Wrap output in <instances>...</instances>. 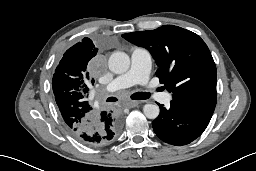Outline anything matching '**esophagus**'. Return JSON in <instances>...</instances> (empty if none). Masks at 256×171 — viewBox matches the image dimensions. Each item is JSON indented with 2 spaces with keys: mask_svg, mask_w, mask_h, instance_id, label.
<instances>
[{
  "mask_svg": "<svg viewBox=\"0 0 256 171\" xmlns=\"http://www.w3.org/2000/svg\"><path fill=\"white\" fill-rule=\"evenodd\" d=\"M141 103V101H128L126 103L128 108H134L136 106H138Z\"/></svg>",
  "mask_w": 256,
  "mask_h": 171,
  "instance_id": "34e87169",
  "label": "esophagus"
}]
</instances>
